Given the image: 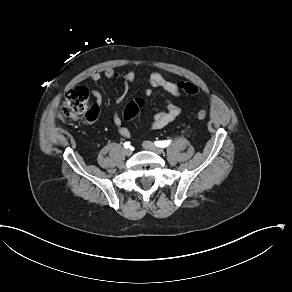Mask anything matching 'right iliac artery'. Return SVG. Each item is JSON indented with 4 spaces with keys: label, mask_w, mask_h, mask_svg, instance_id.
<instances>
[{
    "label": "right iliac artery",
    "mask_w": 292,
    "mask_h": 292,
    "mask_svg": "<svg viewBox=\"0 0 292 292\" xmlns=\"http://www.w3.org/2000/svg\"><path fill=\"white\" fill-rule=\"evenodd\" d=\"M124 147H125L126 149L129 148V147H130V142H129V141L125 142V143H124Z\"/></svg>",
    "instance_id": "82829eb1"
}]
</instances>
